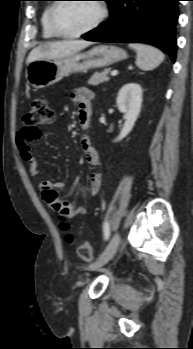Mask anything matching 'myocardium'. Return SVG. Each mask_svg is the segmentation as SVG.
Listing matches in <instances>:
<instances>
[{"label":"myocardium","instance_id":"1","mask_svg":"<svg viewBox=\"0 0 193 349\" xmlns=\"http://www.w3.org/2000/svg\"><path fill=\"white\" fill-rule=\"evenodd\" d=\"M94 1L98 8H99V16L97 17V19L87 28L78 31L76 33H64L62 31H60L56 25L55 22V15L56 12L58 11L59 7L64 4L65 2H63L62 0H58V2H55L48 14V25L50 30L52 31V33L59 38H63V39H75V38H79L93 30H95L96 28H98L106 19L107 15H108V9L107 6L104 2H102L101 0H92Z\"/></svg>","mask_w":193,"mask_h":349}]
</instances>
